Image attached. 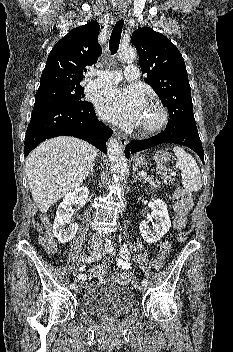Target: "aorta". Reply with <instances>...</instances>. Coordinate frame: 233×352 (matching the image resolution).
I'll return each instance as SVG.
<instances>
[{"label":"aorta","mask_w":233,"mask_h":352,"mask_svg":"<svg viewBox=\"0 0 233 352\" xmlns=\"http://www.w3.org/2000/svg\"><path fill=\"white\" fill-rule=\"evenodd\" d=\"M118 55L120 60L133 61L137 53L133 48H121L119 49ZM106 146L113 178L115 182H121L125 179L127 172L126 157L117 139L111 137Z\"/></svg>","instance_id":"obj_1"}]
</instances>
